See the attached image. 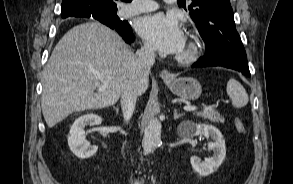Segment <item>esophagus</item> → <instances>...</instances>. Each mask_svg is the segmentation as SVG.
<instances>
[{"mask_svg": "<svg viewBox=\"0 0 293 184\" xmlns=\"http://www.w3.org/2000/svg\"><path fill=\"white\" fill-rule=\"evenodd\" d=\"M160 77L163 80H170L172 79V74L168 70H162L160 73Z\"/></svg>", "mask_w": 293, "mask_h": 184, "instance_id": "obj_1", "label": "esophagus"}]
</instances>
